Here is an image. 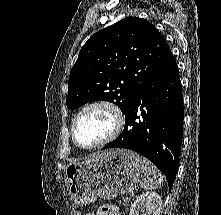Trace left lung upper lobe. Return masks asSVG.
<instances>
[{"label":"left lung upper lobe","mask_w":221,"mask_h":215,"mask_svg":"<svg viewBox=\"0 0 221 215\" xmlns=\"http://www.w3.org/2000/svg\"><path fill=\"white\" fill-rule=\"evenodd\" d=\"M170 52L155 26L138 17H127L98 31L83 45L70 72L68 109L104 100L125 114Z\"/></svg>","instance_id":"5c2ea615"}]
</instances>
